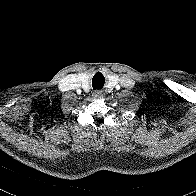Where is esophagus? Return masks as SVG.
<instances>
[{
  "label": "esophagus",
  "instance_id": "esophagus-1",
  "mask_svg": "<svg viewBox=\"0 0 196 196\" xmlns=\"http://www.w3.org/2000/svg\"><path fill=\"white\" fill-rule=\"evenodd\" d=\"M103 95H104V92L101 91V90H96V91H94V93H93V96H94L95 98H100V97H102Z\"/></svg>",
  "mask_w": 196,
  "mask_h": 196
}]
</instances>
